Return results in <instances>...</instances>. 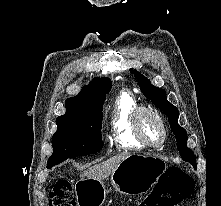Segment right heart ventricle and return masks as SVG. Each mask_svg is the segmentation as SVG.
<instances>
[{
  "label": "right heart ventricle",
  "mask_w": 221,
  "mask_h": 206,
  "mask_svg": "<svg viewBox=\"0 0 221 206\" xmlns=\"http://www.w3.org/2000/svg\"><path fill=\"white\" fill-rule=\"evenodd\" d=\"M139 107L135 97L122 91L116 97L110 115L111 140L119 149H143L133 129V114Z\"/></svg>",
  "instance_id": "1"
}]
</instances>
